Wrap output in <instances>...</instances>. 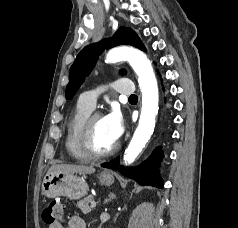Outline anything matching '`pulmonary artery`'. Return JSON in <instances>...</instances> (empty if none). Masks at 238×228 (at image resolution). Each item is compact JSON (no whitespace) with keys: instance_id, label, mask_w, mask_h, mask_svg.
<instances>
[{"instance_id":"e3ab8cb5","label":"pulmonary artery","mask_w":238,"mask_h":228,"mask_svg":"<svg viewBox=\"0 0 238 228\" xmlns=\"http://www.w3.org/2000/svg\"><path fill=\"white\" fill-rule=\"evenodd\" d=\"M112 87L114 90L119 92L122 95H133L134 94V85L130 79L121 78L117 79L113 84ZM98 94L96 90H89L83 93L80 96V101L86 105L87 107L94 109Z\"/></svg>"}]
</instances>
